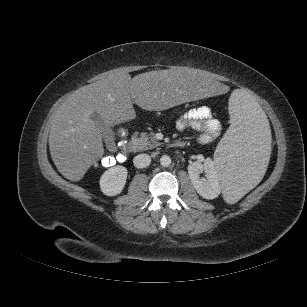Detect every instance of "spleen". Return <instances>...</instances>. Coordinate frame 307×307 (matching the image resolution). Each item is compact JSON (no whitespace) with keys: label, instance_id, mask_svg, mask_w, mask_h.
Wrapping results in <instances>:
<instances>
[{"label":"spleen","instance_id":"spleen-1","mask_svg":"<svg viewBox=\"0 0 307 307\" xmlns=\"http://www.w3.org/2000/svg\"><path fill=\"white\" fill-rule=\"evenodd\" d=\"M229 114L231 125L216 148L214 164L223 198L234 204L268 171L271 137L266 114L247 92L233 91Z\"/></svg>","mask_w":307,"mask_h":307}]
</instances>
